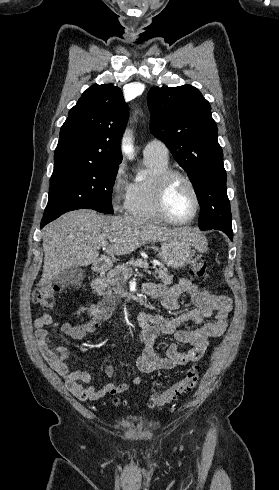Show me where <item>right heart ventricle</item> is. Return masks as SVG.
I'll list each match as a JSON object with an SVG mask.
<instances>
[{
  "instance_id": "1",
  "label": "right heart ventricle",
  "mask_w": 279,
  "mask_h": 490,
  "mask_svg": "<svg viewBox=\"0 0 279 490\" xmlns=\"http://www.w3.org/2000/svg\"><path fill=\"white\" fill-rule=\"evenodd\" d=\"M148 176L143 181L132 184L127 215L142 221L164 222L156 206L159 177L170 169L169 159L145 157Z\"/></svg>"
}]
</instances>
